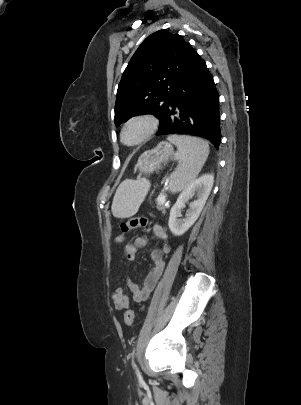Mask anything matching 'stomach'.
Segmentation results:
<instances>
[{"label": "stomach", "instance_id": "stomach-1", "mask_svg": "<svg viewBox=\"0 0 301 405\" xmlns=\"http://www.w3.org/2000/svg\"><path fill=\"white\" fill-rule=\"evenodd\" d=\"M173 154L174 150L172 145L167 142H161L154 149L141 154L136 169L141 175L151 174L160 167L162 162L168 160Z\"/></svg>", "mask_w": 301, "mask_h": 405}]
</instances>
